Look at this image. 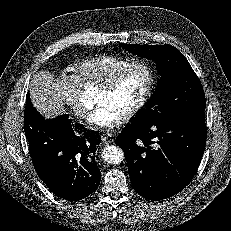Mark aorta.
Wrapping results in <instances>:
<instances>
[{"label": "aorta", "mask_w": 231, "mask_h": 231, "mask_svg": "<svg viewBox=\"0 0 231 231\" xmlns=\"http://www.w3.org/2000/svg\"><path fill=\"white\" fill-rule=\"evenodd\" d=\"M102 158L107 163L116 165L123 161L124 152L118 146H108L103 150Z\"/></svg>", "instance_id": "762f6f07"}]
</instances>
